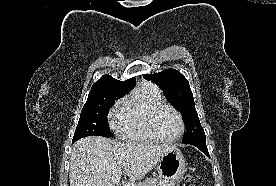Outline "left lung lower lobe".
<instances>
[{"label": "left lung lower lobe", "instance_id": "left-lung-lower-lobe-1", "mask_svg": "<svg viewBox=\"0 0 276 186\" xmlns=\"http://www.w3.org/2000/svg\"><path fill=\"white\" fill-rule=\"evenodd\" d=\"M186 144H191L197 148H199L203 153H205L207 156H209L208 149L206 146V141H197V142H190Z\"/></svg>", "mask_w": 276, "mask_h": 186}]
</instances>
